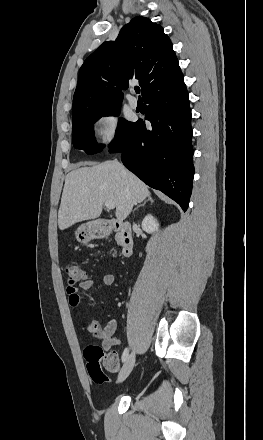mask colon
Listing matches in <instances>:
<instances>
[{
	"instance_id": "obj_1",
	"label": "colon",
	"mask_w": 263,
	"mask_h": 440,
	"mask_svg": "<svg viewBox=\"0 0 263 440\" xmlns=\"http://www.w3.org/2000/svg\"><path fill=\"white\" fill-rule=\"evenodd\" d=\"M69 286L81 283L86 278V271L79 264L67 263L64 267ZM86 368L90 378L95 383H104L108 380L105 371L115 373L120 365L116 352L104 353L102 348L95 344L87 345L84 349Z\"/></svg>"
}]
</instances>
